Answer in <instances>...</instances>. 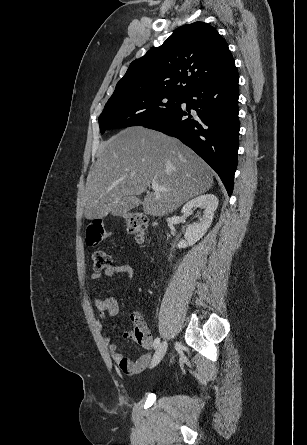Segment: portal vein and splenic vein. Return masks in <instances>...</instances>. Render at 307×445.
<instances>
[{"label": "portal vein and splenic vein", "mask_w": 307, "mask_h": 445, "mask_svg": "<svg viewBox=\"0 0 307 445\" xmlns=\"http://www.w3.org/2000/svg\"><path fill=\"white\" fill-rule=\"evenodd\" d=\"M151 186L153 190H168V188H164V186H159L157 182H152Z\"/></svg>", "instance_id": "obj_1"}]
</instances>
